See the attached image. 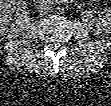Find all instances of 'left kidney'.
<instances>
[{
    "label": "left kidney",
    "instance_id": "1",
    "mask_svg": "<svg viewBox=\"0 0 111 106\" xmlns=\"http://www.w3.org/2000/svg\"><path fill=\"white\" fill-rule=\"evenodd\" d=\"M103 14L98 19L93 20L90 28L97 33L108 34L111 32V9H103Z\"/></svg>",
    "mask_w": 111,
    "mask_h": 106
}]
</instances>
